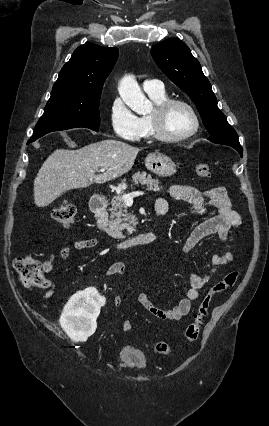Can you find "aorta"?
Masks as SVG:
<instances>
[{
    "label": "aorta",
    "mask_w": 269,
    "mask_h": 426,
    "mask_svg": "<svg viewBox=\"0 0 269 426\" xmlns=\"http://www.w3.org/2000/svg\"><path fill=\"white\" fill-rule=\"evenodd\" d=\"M118 91L126 105L137 114L144 115L152 110V103L142 93L134 76H124L120 81Z\"/></svg>",
    "instance_id": "obj_1"
}]
</instances>
